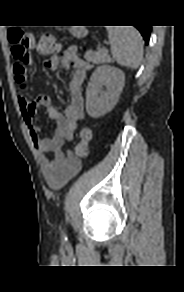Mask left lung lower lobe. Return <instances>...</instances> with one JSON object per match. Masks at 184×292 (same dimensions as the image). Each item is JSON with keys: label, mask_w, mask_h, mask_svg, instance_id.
<instances>
[{"label": "left lung lower lobe", "mask_w": 184, "mask_h": 292, "mask_svg": "<svg viewBox=\"0 0 184 292\" xmlns=\"http://www.w3.org/2000/svg\"><path fill=\"white\" fill-rule=\"evenodd\" d=\"M135 27L140 31L141 35L143 36L145 40V43L148 44L151 26L136 25Z\"/></svg>", "instance_id": "left-lung-lower-lobe-1"}]
</instances>
